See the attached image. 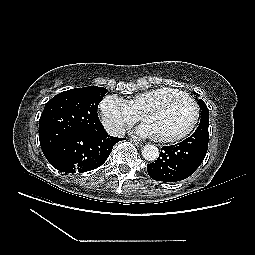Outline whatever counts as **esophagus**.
Segmentation results:
<instances>
[{
    "label": "esophagus",
    "instance_id": "obj_1",
    "mask_svg": "<svg viewBox=\"0 0 255 255\" xmlns=\"http://www.w3.org/2000/svg\"><path fill=\"white\" fill-rule=\"evenodd\" d=\"M130 141L133 142L136 146H142L143 145L142 142H140V141H138L136 139H132L131 138Z\"/></svg>",
    "mask_w": 255,
    "mask_h": 255
}]
</instances>
